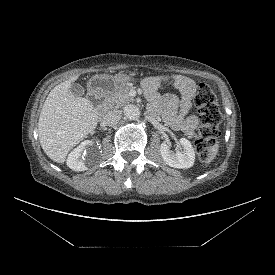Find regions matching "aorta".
I'll use <instances>...</instances> for the list:
<instances>
[{
	"instance_id": "aorta-1",
	"label": "aorta",
	"mask_w": 275,
	"mask_h": 275,
	"mask_svg": "<svg viewBox=\"0 0 275 275\" xmlns=\"http://www.w3.org/2000/svg\"><path fill=\"white\" fill-rule=\"evenodd\" d=\"M124 115L130 120H137L140 117V110L136 105L129 104L124 107Z\"/></svg>"
}]
</instances>
